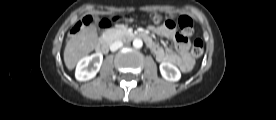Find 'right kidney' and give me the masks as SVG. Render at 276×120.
Segmentation results:
<instances>
[{"label": "right kidney", "instance_id": "obj_1", "mask_svg": "<svg viewBox=\"0 0 276 120\" xmlns=\"http://www.w3.org/2000/svg\"><path fill=\"white\" fill-rule=\"evenodd\" d=\"M103 55L95 53L83 57L77 64L75 77L79 81H87L94 78L102 65Z\"/></svg>", "mask_w": 276, "mask_h": 120}]
</instances>
